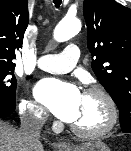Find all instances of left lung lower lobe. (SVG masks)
I'll return each mask as SVG.
<instances>
[{
    "label": "left lung lower lobe",
    "mask_w": 131,
    "mask_h": 151,
    "mask_svg": "<svg viewBox=\"0 0 131 151\" xmlns=\"http://www.w3.org/2000/svg\"><path fill=\"white\" fill-rule=\"evenodd\" d=\"M125 133H131V129L124 130Z\"/></svg>",
    "instance_id": "0a47b994"
}]
</instances>
